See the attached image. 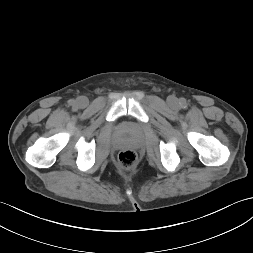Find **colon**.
<instances>
[{
  "label": "colon",
  "instance_id": "obj_1",
  "mask_svg": "<svg viewBox=\"0 0 253 253\" xmlns=\"http://www.w3.org/2000/svg\"><path fill=\"white\" fill-rule=\"evenodd\" d=\"M137 161V154L132 149L122 150L118 154V164L124 170L131 169Z\"/></svg>",
  "mask_w": 253,
  "mask_h": 253
}]
</instances>
